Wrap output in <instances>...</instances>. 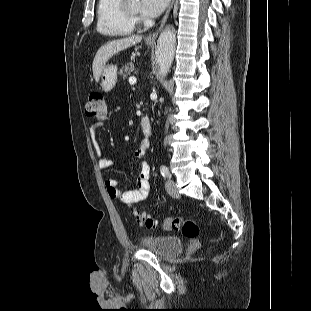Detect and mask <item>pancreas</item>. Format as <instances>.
<instances>
[{"instance_id":"1","label":"pancreas","mask_w":311,"mask_h":311,"mask_svg":"<svg viewBox=\"0 0 311 311\" xmlns=\"http://www.w3.org/2000/svg\"><path fill=\"white\" fill-rule=\"evenodd\" d=\"M134 70V65L133 63H128L127 65L123 66L121 69H120V72L119 74L123 77H126L128 75L131 74V72H133Z\"/></svg>"}]
</instances>
